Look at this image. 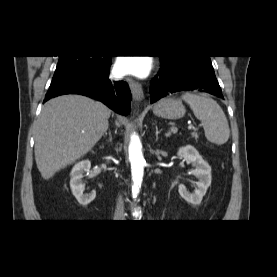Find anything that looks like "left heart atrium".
Masks as SVG:
<instances>
[{"mask_svg": "<svg viewBox=\"0 0 277 277\" xmlns=\"http://www.w3.org/2000/svg\"><path fill=\"white\" fill-rule=\"evenodd\" d=\"M117 69L121 74L145 76L150 70V62L144 57L122 58L117 61Z\"/></svg>", "mask_w": 277, "mask_h": 277, "instance_id": "39dd6f15", "label": "left heart atrium"}]
</instances>
